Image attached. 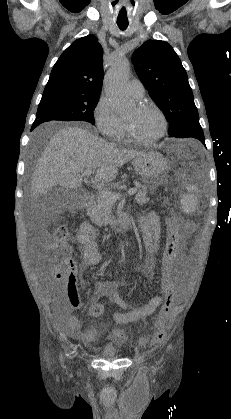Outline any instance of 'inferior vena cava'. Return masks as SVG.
I'll list each match as a JSON object with an SVG mask.
<instances>
[{"label": "inferior vena cava", "instance_id": "1", "mask_svg": "<svg viewBox=\"0 0 231 419\" xmlns=\"http://www.w3.org/2000/svg\"><path fill=\"white\" fill-rule=\"evenodd\" d=\"M110 146L112 147V148H114V147H116V144L115 143H110Z\"/></svg>", "mask_w": 231, "mask_h": 419}]
</instances>
